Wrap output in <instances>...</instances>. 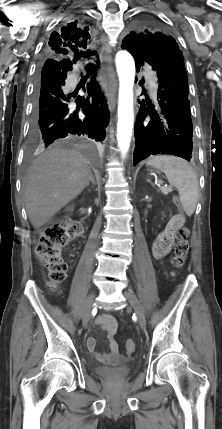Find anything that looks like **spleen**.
I'll return each mask as SVG.
<instances>
[{
    "label": "spleen",
    "mask_w": 222,
    "mask_h": 429,
    "mask_svg": "<svg viewBox=\"0 0 222 429\" xmlns=\"http://www.w3.org/2000/svg\"><path fill=\"white\" fill-rule=\"evenodd\" d=\"M147 165L165 173L170 185L177 188L186 215L191 216L198 201V180L193 168L185 160L169 155L152 156Z\"/></svg>",
    "instance_id": "obj_1"
}]
</instances>
